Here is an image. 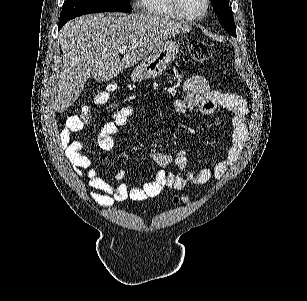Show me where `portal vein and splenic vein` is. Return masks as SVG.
<instances>
[{"instance_id":"1","label":"portal vein and splenic vein","mask_w":307,"mask_h":301,"mask_svg":"<svg viewBox=\"0 0 307 301\" xmlns=\"http://www.w3.org/2000/svg\"><path fill=\"white\" fill-rule=\"evenodd\" d=\"M118 52H127V46H120V48H118Z\"/></svg>"}]
</instances>
